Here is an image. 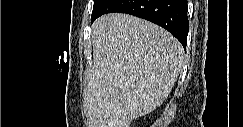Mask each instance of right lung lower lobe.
<instances>
[{
  "label": "right lung lower lobe",
  "instance_id": "1",
  "mask_svg": "<svg viewBox=\"0 0 243 127\" xmlns=\"http://www.w3.org/2000/svg\"><path fill=\"white\" fill-rule=\"evenodd\" d=\"M112 12L127 13L157 24L168 30L186 49L189 31L187 0H107L91 22Z\"/></svg>",
  "mask_w": 243,
  "mask_h": 127
}]
</instances>
